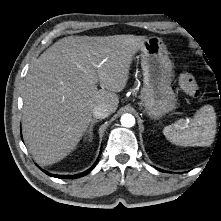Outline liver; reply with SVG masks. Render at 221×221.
<instances>
[{
  "mask_svg": "<svg viewBox=\"0 0 221 221\" xmlns=\"http://www.w3.org/2000/svg\"><path fill=\"white\" fill-rule=\"evenodd\" d=\"M144 36H69L30 65L23 91V137L35 161L51 165L74 150L105 104L114 113L116 94L128 81ZM101 89H97V83Z\"/></svg>",
  "mask_w": 221,
  "mask_h": 221,
  "instance_id": "6515ba94",
  "label": "liver"
}]
</instances>
